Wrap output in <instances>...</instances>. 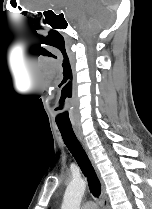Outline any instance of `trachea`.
I'll return each instance as SVG.
<instances>
[{"label":"trachea","mask_w":152,"mask_h":209,"mask_svg":"<svg viewBox=\"0 0 152 209\" xmlns=\"http://www.w3.org/2000/svg\"><path fill=\"white\" fill-rule=\"evenodd\" d=\"M63 141L77 161L83 174L87 177L88 185L94 196H99L101 185L84 149L76 139L72 127H58Z\"/></svg>","instance_id":"trachea-1"}]
</instances>
